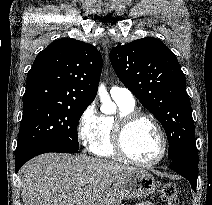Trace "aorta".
I'll return each mask as SVG.
<instances>
[{"label":"aorta","instance_id":"aorta-1","mask_svg":"<svg viewBox=\"0 0 212 205\" xmlns=\"http://www.w3.org/2000/svg\"><path fill=\"white\" fill-rule=\"evenodd\" d=\"M98 96L102 102L101 111L107 114L113 113L115 111V105L111 101L107 89L103 83H100L98 87Z\"/></svg>","mask_w":212,"mask_h":205}]
</instances>
